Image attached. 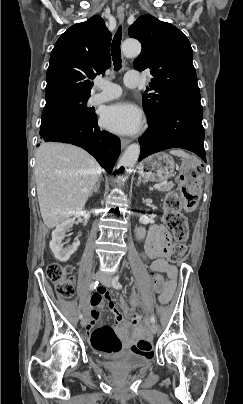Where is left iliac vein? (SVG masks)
<instances>
[{"instance_id":"1","label":"left iliac vein","mask_w":243,"mask_h":404,"mask_svg":"<svg viewBox=\"0 0 243 404\" xmlns=\"http://www.w3.org/2000/svg\"><path fill=\"white\" fill-rule=\"evenodd\" d=\"M101 282L104 286L106 287H110L112 285V278L110 275H106L101 279ZM150 330L153 334H156L158 331V327L157 325H155L154 323L151 324L150 326Z\"/></svg>"}]
</instances>
